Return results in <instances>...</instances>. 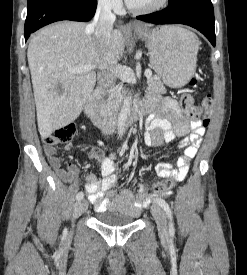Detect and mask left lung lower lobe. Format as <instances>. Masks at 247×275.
I'll return each instance as SVG.
<instances>
[{
	"label": "left lung lower lobe",
	"mask_w": 247,
	"mask_h": 275,
	"mask_svg": "<svg viewBox=\"0 0 247 275\" xmlns=\"http://www.w3.org/2000/svg\"><path fill=\"white\" fill-rule=\"evenodd\" d=\"M155 24H185L199 30L215 46L214 10L211 0H180L167 8L136 17Z\"/></svg>",
	"instance_id": "obj_1"
}]
</instances>
